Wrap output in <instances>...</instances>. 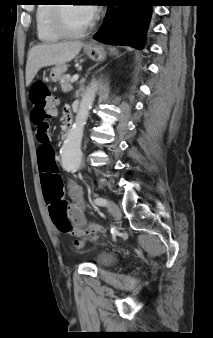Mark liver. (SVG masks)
Masks as SVG:
<instances>
[{
    "instance_id": "obj_1",
    "label": "liver",
    "mask_w": 213,
    "mask_h": 338,
    "mask_svg": "<svg viewBox=\"0 0 213 338\" xmlns=\"http://www.w3.org/2000/svg\"><path fill=\"white\" fill-rule=\"evenodd\" d=\"M80 41L40 44L32 47L26 63V86H29L38 71L47 66L61 65L73 60L80 52Z\"/></svg>"
}]
</instances>
